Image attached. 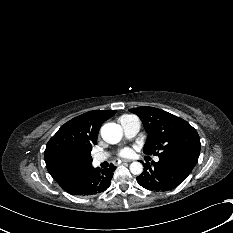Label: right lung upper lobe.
I'll list each match as a JSON object with an SVG mask.
<instances>
[{
  "label": "right lung upper lobe",
  "instance_id": "obj_1",
  "mask_svg": "<svg viewBox=\"0 0 233 233\" xmlns=\"http://www.w3.org/2000/svg\"><path fill=\"white\" fill-rule=\"evenodd\" d=\"M115 113L116 110L84 113L62 125L49 140L44 156L46 167L63 189L92 166L91 150L101 124Z\"/></svg>",
  "mask_w": 233,
  "mask_h": 233
}]
</instances>
